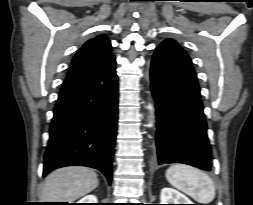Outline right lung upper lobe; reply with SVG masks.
Listing matches in <instances>:
<instances>
[{
  "instance_id": "1",
  "label": "right lung upper lobe",
  "mask_w": 253,
  "mask_h": 205,
  "mask_svg": "<svg viewBox=\"0 0 253 205\" xmlns=\"http://www.w3.org/2000/svg\"><path fill=\"white\" fill-rule=\"evenodd\" d=\"M114 59L109 39L99 35L87 41L74 56L67 79L98 70Z\"/></svg>"
}]
</instances>
